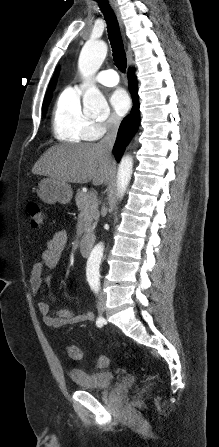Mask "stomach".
<instances>
[{
  "label": "stomach",
  "mask_w": 219,
  "mask_h": 447,
  "mask_svg": "<svg viewBox=\"0 0 219 447\" xmlns=\"http://www.w3.org/2000/svg\"><path fill=\"white\" fill-rule=\"evenodd\" d=\"M36 193L44 202L49 204H54L55 202L67 204L73 196L72 188L68 183L52 177L41 180Z\"/></svg>",
  "instance_id": "obj_1"
}]
</instances>
